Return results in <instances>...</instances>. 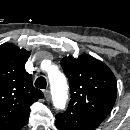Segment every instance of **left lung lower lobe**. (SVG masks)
<instances>
[{"mask_svg": "<svg viewBox=\"0 0 130 130\" xmlns=\"http://www.w3.org/2000/svg\"><path fill=\"white\" fill-rule=\"evenodd\" d=\"M102 121L88 112L68 107L64 113L56 115L55 124L59 130H94Z\"/></svg>", "mask_w": 130, "mask_h": 130, "instance_id": "left-lung-lower-lobe-1", "label": "left lung lower lobe"}]
</instances>
